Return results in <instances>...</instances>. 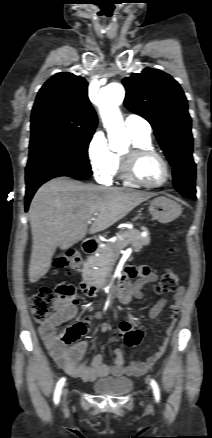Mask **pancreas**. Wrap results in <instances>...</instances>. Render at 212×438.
Returning a JSON list of instances; mask_svg holds the SVG:
<instances>
[{"instance_id": "pancreas-1", "label": "pancreas", "mask_w": 212, "mask_h": 438, "mask_svg": "<svg viewBox=\"0 0 212 438\" xmlns=\"http://www.w3.org/2000/svg\"><path fill=\"white\" fill-rule=\"evenodd\" d=\"M150 243V237H143L138 230H128L120 235V238L115 243H108L106 246L100 248L98 256L94 255L88 258V262L84 268V277L93 273V268L98 267L101 271L108 273L112 270L113 265L119 258L120 249L128 245L134 248V251H140L143 246Z\"/></svg>"}]
</instances>
